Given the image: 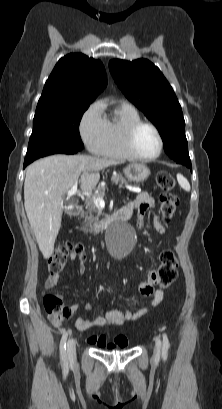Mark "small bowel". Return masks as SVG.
Segmentation results:
<instances>
[{
	"mask_svg": "<svg viewBox=\"0 0 222 409\" xmlns=\"http://www.w3.org/2000/svg\"><path fill=\"white\" fill-rule=\"evenodd\" d=\"M155 207L154 199L146 192L138 194L136 199L130 202L124 209L128 210L131 214L134 210H138L139 226L144 225V216L149 209ZM153 228L156 232L163 234L166 232V227L160 218L155 215L153 217ZM79 259V272L84 274L86 272V265L84 260L79 258L77 254L72 253L69 256V261L73 262ZM150 275H147L137 287V292L140 297H154V300L149 306H146L136 312H131L128 309L120 310L114 309L107 311L104 315L95 316L93 318L79 317L75 322V327L78 331L84 332L94 328H106L111 325H123L127 321L137 320L146 315L152 308L156 307L163 299L164 292L162 290H156L155 287L161 283L159 269H151ZM60 280L59 274H50L45 281V289L48 292H53ZM60 297V295H58ZM92 305H88L87 308H92ZM74 306L73 309H76ZM49 320L53 326L60 328L62 318L54 315H49ZM87 343L96 346L100 349L117 350L125 349L128 346V342L125 337L119 336L112 342L107 341L106 337L102 335H90L86 339Z\"/></svg>",
	"mask_w": 222,
	"mask_h": 409,
	"instance_id": "small-bowel-1",
	"label": "small bowel"
}]
</instances>
